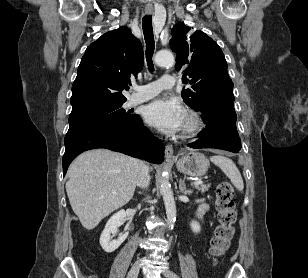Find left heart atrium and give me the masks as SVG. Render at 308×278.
Here are the masks:
<instances>
[{"label":"left heart atrium","instance_id":"39dd6f15","mask_svg":"<svg viewBox=\"0 0 308 278\" xmlns=\"http://www.w3.org/2000/svg\"><path fill=\"white\" fill-rule=\"evenodd\" d=\"M144 117L148 124L166 133L180 130L185 122L186 113L179 101L162 98L146 106Z\"/></svg>","mask_w":308,"mask_h":278}]
</instances>
